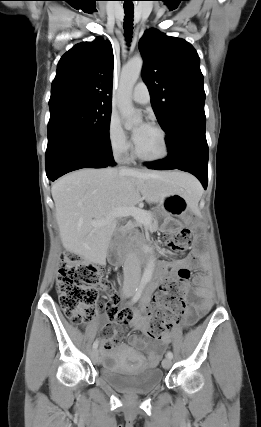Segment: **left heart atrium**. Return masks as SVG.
Here are the masks:
<instances>
[{
	"label": "left heart atrium",
	"instance_id": "left-heart-atrium-1",
	"mask_svg": "<svg viewBox=\"0 0 261 427\" xmlns=\"http://www.w3.org/2000/svg\"><path fill=\"white\" fill-rule=\"evenodd\" d=\"M149 124L143 123L140 125L133 133V141L135 144H137L140 139L142 138L143 134L146 132V130L149 128Z\"/></svg>",
	"mask_w": 261,
	"mask_h": 427
}]
</instances>
